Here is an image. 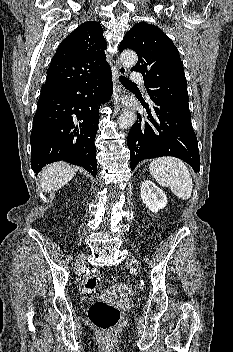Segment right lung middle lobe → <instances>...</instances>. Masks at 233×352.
Here are the masks:
<instances>
[{"mask_svg":"<svg viewBox=\"0 0 233 352\" xmlns=\"http://www.w3.org/2000/svg\"><path fill=\"white\" fill-rule=\"evenodd\" d=\"M58 91H54V90H41V94H51V93H56Z\"/></svg>","mask_w":233,"mask_h":352,"instance_id":"right-lung-middle-lobe-1","label":"right lung middle lobe"}]
</instances>
